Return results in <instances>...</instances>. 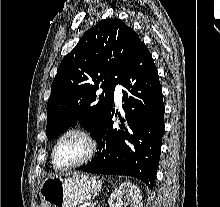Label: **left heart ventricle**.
Segmentation results:
<instances>
[{"label": "left heart ventricle", "instance_id": "left-heart-ventricle-1", "mask_svg": "<svg viewBox=\"0 0 220 207\" xmlns=\"http://www.w3.org/2000/svg\"><path fill=\"white\" fill-rule=\"evenodd\" d=\"M87 150V142L82 137L69 135L60 142L56 149V162L60 166L72 164L82 159Z\"/></svg>", "mask_w": 220, "mask_h": 207}]
</instances>
